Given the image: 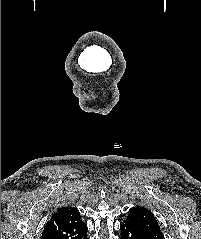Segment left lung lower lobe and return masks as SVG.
I'll return each mask as SVG.
<instances>
[{"label":"left lung lower lobe","instance_id":"1","mask_svg":"<svg viewBox=\"0 0 201 239\" xmlns=\"http://www.w3.org/2000/svg\"><path fill=\"white\" fill-rule=\"evenodd\" d=\"M120 239H152L148 234L141 230L136 225L124 222L120 225Z\"/></svg>","mask_w":201,"mask_h":239}]
</instances>
